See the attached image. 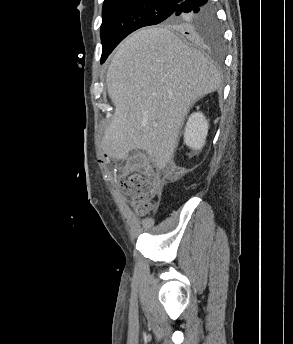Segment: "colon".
I'll return each instance as SVG.
<instances>
[{"label": "colon", "mask_w": 293, "mask_h": 344, "mask_svg": "<svg viewBox=\"0 0 293 344\" xmlns=\"http://www.w3.org/2000/svg\"><path fill=\"white\" fill-rule=\"evenodd\" d=\"M124 189L139 214L144 215L152 211L157 198V183L154 177L134 174Z\"/></svg>", "instance_id": "colon-1"}]
</instances>
